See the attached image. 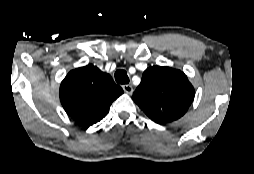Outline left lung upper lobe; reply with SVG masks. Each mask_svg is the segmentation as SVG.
<instances>
[{"label": "left lung upper lobe", "mask_w": 254, "mask_h": 174, "mask_svg": "<svg viewBox=\"0 0 254 174\" xmlns=\"http://www.w3.org/2000/svg\"><path fill=\"white\" fill-rule=\"evenodd\" d=\"M132 99L158 124L177 120L194 99V88L187 76L170 67L147 68Z\"/></svg>", "instance_id": "5c2ea615"}]
</instances>
